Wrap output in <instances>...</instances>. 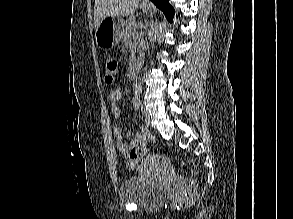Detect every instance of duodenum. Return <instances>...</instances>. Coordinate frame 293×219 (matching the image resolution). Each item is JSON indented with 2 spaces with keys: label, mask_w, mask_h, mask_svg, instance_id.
I'll list each match as a JSON object with an SVG mask.
<instances>
[{
  "label": "duodenum",
  "mask_w": 293,
  "mask_h": 219,
  "mask_svg": "<svg viewBox=\"0 0 293 219\" xmlns=\"http://www.w3.org/2000/svg\"><path fill=\"white\" fill-rule=\"evenodd\" d=\"M140 63L139 62H136L133 64V66L131 67V70H130V78L132 80L136 79L137 76H138V73L140 71Z\"/></svg>",
  "instance_id": "obj_1"
}]
</instances>
